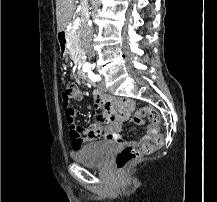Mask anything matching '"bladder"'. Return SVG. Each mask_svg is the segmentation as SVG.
Returning <instances> with one entry per match:
<instances>
[{"instance_id":"1","label":"bladder","mask_w":217,"mask_h":202,"mask_svg":"<svg viewBox=\"0 0 217 202\" xmlns=\"http://www.w3.org/2000/svg\"><path fill=\"white\" fill-rule=\"evenodd\" d=\"M115 148L114 142L101 141L73 152L72 158L83 166H99L104 164V161L110 157Z\"/></svg>"}]
</instances>
